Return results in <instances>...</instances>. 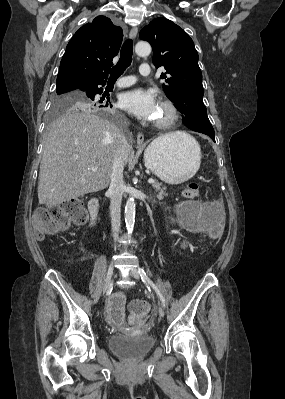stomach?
<instances>
[{
  "instance_id": "1",
  "label": "stomach",
  "mask_w": 285,
  "mask_h": 399,
  "mask_svg": "<svg viewBox=\"0 0 285 399\" xmlns=\"http://www.w3.org/2000/svg\"><path fill=\"white\" fill-rule=\"evenodd\" d=\"M145 166L168 184H180L195 175L201 151L194 138L185 133L181 139L157 138L144 152Z\"/></svg>"
}]
</instances>
